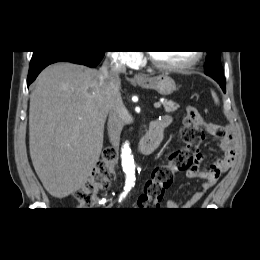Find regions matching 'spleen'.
Returning a JSON list of instances; mask_svg holds the SVG:
<instances>
[{"label": "spleen", "mask_w": 260, "mask_h": 260, "mask_svg": "<svg viewBox=\"0 0 260 260\" xmlns=\"http://www.w3.org/2000/svg\"><path fill=\"white\" fill-rule=\"evenodd\" d=\"M212 96H213V98H214L215 103H216V104H219V99H218L216 93L213 92V91H212Z\"/></svg>", "instance_id": "3e777b00"}]
</instances>
